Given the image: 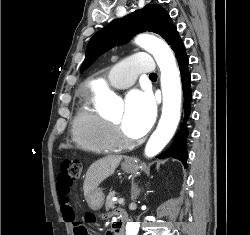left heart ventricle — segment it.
Listing matches in <instances>:
<instances>
[{
    "instance_id": "b2bd125f",
    "label": "left heart ventricle",
    "mask_w": 250,
    "mask_h": 235,
    "mask_svg": "<svg viewBox=\"0 0 250 235\" xmlns=\"http://www.w3.org/2000/svg\"><path fill=\"white\" fill-rule=\"evenodd\" d=\"M110 120L117 123V124H122V122H123V112H120L116 116L112 117Z\"/></svg>"
}]
</instances>
